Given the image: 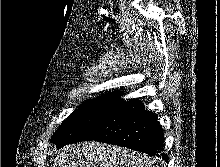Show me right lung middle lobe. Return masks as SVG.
<instances>
[{"label":"right lung middle lobe","mask_w":220,"mask_h":167,"mask_svg":"<svg viewBox=\"0 0 220 167\" xmlns=\"http://www.w3.org/2000/svg\"><path fill=\"white\" fill-rule=\"evenodd\" d=\"M115 101L97 98L80 105L78 109L63 121L51 138V142L57 148H61L66 144L83 141L105 118Z\"/></svg>","instance_id":"right-lung-middle-lobe-1"}]
</instances>
